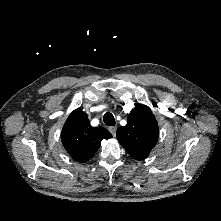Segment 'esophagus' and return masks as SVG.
<instances>
[{
    "label": "esophagus",
    "mask_w": 221,
    "mask_h": 221,
    "mask_svg": "<svg viewBox=\"0 0 221 221\" xmlns=\"http://www.w3.org/2000/svg\"><path fill=\"white\" fill-rule=\"evenodd\" d=\"M109 131L115 137L116 136L117 127L116 126L110 127Z\"/></svg>",
    "instance_id": "obj_1"
}]
</instances>
